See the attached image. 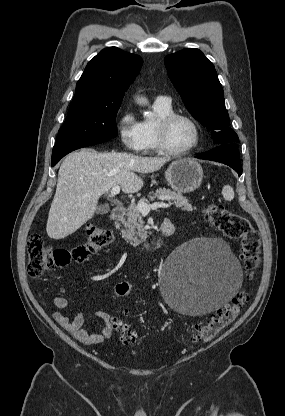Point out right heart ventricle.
<instances>
[{
    "mask_svg": "<svg viewBox=\"0 0 285 416\" xmlns=\"http://www.w3.org/2000/svg\"><path fill=\"white\" fill-rule=\"evenodd\" d=\"M155 117L153 119L145 118L140 120V127L144 139V150L148 152L159 151L156 141V123L159 118L173 112L172 106L164 101L156 100L154 102Z\"/></svg>",
    "mask_w": 285,
    "mask_h": 416,
    "instance_id": "obj_1",
    "label": "right heart ventricle"
}]
</instances>
